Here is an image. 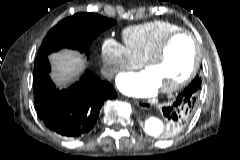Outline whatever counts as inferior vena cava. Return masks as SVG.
<instances>
[{
	"label": "inferior vena cava",
	"mask_w": 240,
	"mask_h": 160,
	"mask_svg": "<svg viewBox=\"0 0 240 160\" xmlns=\"http://www.w3.org/2000/svg\"><path fill=\"white\" fill-rule=\"evenodd\" d=\"M116 72L117 70L112 67H105L101 70L102 75L108 79L112 78L116 74Z\"/></svg>",
	"instance_id": "602c4592"
}]
</instances>
